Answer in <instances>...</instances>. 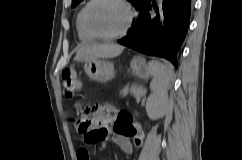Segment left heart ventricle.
Masks as SVG:
<instances>
[{"instance_id": "b2bd125f", "label": "left heart ventricle", "mask_w": 242, "mask_h": 160, "mask_svg": "<svg viewBox=\"0 0 242 160\" xmlns=\"http://www.w3.org/2000/svg\"><path fill=\"white\" fill-rule=\"evenodd\" d=\"M128 14L117 0H98L87 11V23L97 34H115L126 25Z\"/></svg>"}]
</instances>
